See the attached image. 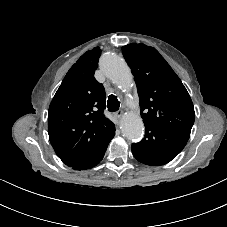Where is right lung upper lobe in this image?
<instances>
[{
	"label": "right lung upper lobe",
	"instance_id": "1",
	"mask_svg": "<svg viewBox=\"0 0 227 227\" xmlns=\"http://www.w3.org/2000/svg\"><path fill=\"white\" fill-rule=\"evenodd\" d=\"M101 50L94 47L69 69L48 111V134L67 166L94 158L107 144L114 124L104 116L105 91L94 78Z\"/></svg>",
	"mask_w": 227,
	"mask_h": 227
}]
</instances>
